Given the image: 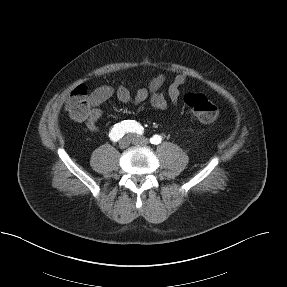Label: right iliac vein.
Returning a JSON list of instances; mask_svg holds the SVG:
<instances>
[{"instance_id": "1", "label": "right iliac vein", "mask_w": 287, "mask_h": 287, "mask_svg": "<svg viewBox=\"0 0 287 287\" xmlns=\"http://www.w3.org/2000/svg\"><path fill=\"white\" fill-rule=\"evenodd\" d=\"M130 143H131V138L129 136H127V137H124L123 139L120 140L119 146L121 149H125V148L129 147Z\"/></svg>"}]
</instances>
